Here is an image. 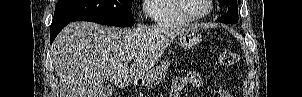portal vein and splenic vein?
Wrapping results in <instances>:
<instances>
[{
	"instance_id": "1",
	"label": "portal vein and splenic vein",
	"mask_w": 302,
	"mask_h": 97,
	"mask_svg": "<svg viewBox=\"0 0 302 97\" xmlns=\"http://www.w3.org/2000/svg\"><path fill=\"white\" fill-rule=\"evenodd\" d=\"M132 59H133V56H129V57H128V60H132Z\"/></svg>"
}]
</instances>
